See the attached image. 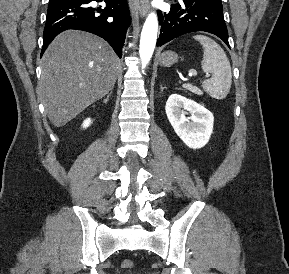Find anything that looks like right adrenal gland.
I'll use <instances>...</instances> for the list:
<instances>
[{"mask_svg": "<svg viewBox=\"0 0 289 274\" xmlns=\"http://www.w3.org/2000/svg\"><path fill=\"white\" fill-rule=\"evenodd\" d=\"M112 91L110 92V94L107 96V99H105L104 101L107 102L109 100V96L111 95Z\"/></svg>", "mask_w": 289, "mask_h": 274, "instance_id": "obj_1", "label": "right adrenal gland"}]
</instances>
